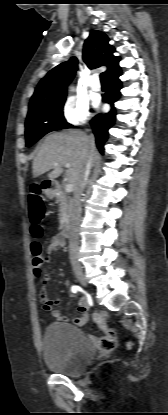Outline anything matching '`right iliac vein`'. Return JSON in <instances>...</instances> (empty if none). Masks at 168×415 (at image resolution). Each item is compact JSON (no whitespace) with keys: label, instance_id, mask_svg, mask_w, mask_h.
I'll return each mask as SVG.
<instances>
[{"label":"right iliac vein","instance_id":"obj_1","mask_svg":"<svg viewBox=\"0 0 168 415\" xmlns=\"http://www.w3.org/2000/svg\"><path fill=\"white\" fill-rule=\"evenodd\" d=\"M75 276H76L77 280L79 281V283L82 286H84V287L87 286V280H86V278H85V276H84V274L81 270L75 271Z\"/></svg>","mask_w":168,"mask_h":415}]
</instances>
